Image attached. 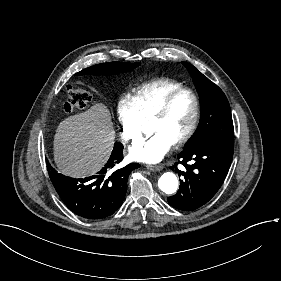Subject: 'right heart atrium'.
Listing matches in <instances>:
<instances>
[{
	"instance_id": "d8ad5b80",
	"label": "right heart atrium",
	"mask_w": 281,
	"mask_h": 281,
	"mask_svg": "<svg viewBox=\"0 0 281 281\" xmlns=\"http://www.w3.org/2000/svg\"><path fill=\"white\" fill-rule=\"evenodd\" d=\"M118 121L121 126V140L124 144L140 138V119L127 98L121 97L116 106Z\"/></svg>"
}]
</instances>
